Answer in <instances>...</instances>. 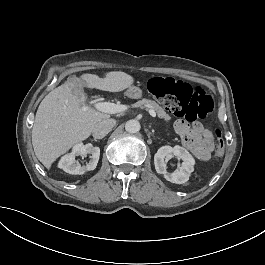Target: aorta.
Listing matches in <instances>:
<instances>
[{
	"mask_svg": "<svg viewBox=\"0 0 265 265\" xmlns=\"http://www.w3.org/2000/svg\"><path fill=\"white\" fill-rule=\"evenodd\" d=\"M125 130H126V132L132 133V134L139 132V130H140L139 121L136 119H131V120L127 121L125 124Z\"/></svg>",
	"mask_w": 265,
	"mask_h": 265,
	"instance_id": "762f6f07",
	"label": "aorta"
}]
</instances>
